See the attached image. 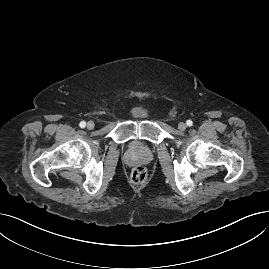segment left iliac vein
<instances>
[{"label":"left iliac vein","mask_w":269,"mask_h":269,"mask_svg":"<svg viewBox=\"0 0 269 269\" xmlns=\"http://www.w3.org/2000/svg\"><path fill=\"white\" fill-rule=\"evenodd\" d=\"M187 128V125L184 122L178 124V129L184 131Z\"/></svg>","instance_id":"1"}]
</instances>
